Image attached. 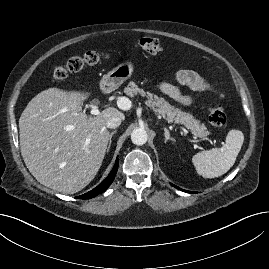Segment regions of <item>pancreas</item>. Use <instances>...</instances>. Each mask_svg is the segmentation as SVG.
I'll list each match as a JSON object with an SVG mask.
<instances>
[{
    "instance_id": "cf45deb5",
    "label": "pancreas",
    "mask_w": 269,
    "mask_h": 269,
    "mask_svg": "<svg viewBox=\"0 0 269 269\" xmlns=\"http://www.w3.org/2000/svg\"><path fill=\"white\" fill-rule=\"evenodd\" d=\"M124 92L130 97H134L140 94L142 97H146L147 106L152 109L156 114L162 115L168 122H175L187 127L191 133L197 137H206L209 132L204 124L200 120L196 119L191 113L181 111V109L172 106L164 98H159L157 95H153L150 92H145L140 89L133 81L129 82L125 87Z\"/></svg>"
}]
</instances>
